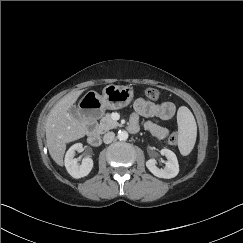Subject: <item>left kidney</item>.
<instances>
[{
  "label": "left kidney",
  "instance_id": "left-kidney-1",
  "mask_svg": "<svg viewBox=\"0 0 243 243\" xmlns=\"http://www.w3.org/2000/svg\"><path fill=\"white\" fill-rule=\"evenodd\" d=\"M160 153L167 158L165 168H158L155 159H149L146 162V167L156 177L166 179L174 178L179 173V164L175 153L169 149H161Z\"/></svg>",
  "mask_w": 243,
  "mask_h": 243
}]
</instances>
